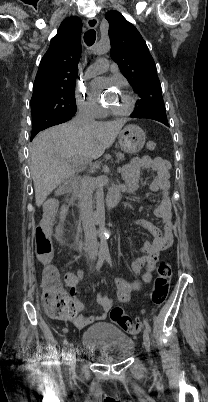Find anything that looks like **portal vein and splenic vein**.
<instances>
[{
  "label": "portal vein and splenic vein",
  "mask_w": 208,
  "mask_h": 402,
  "mask_svg": "<svg viewBox=\"0 0 208 402\" xmlns=\"http://www.w3.org/2000/svg\"><path fill=\"white\" fill-rule=\"evenodd\" d=\"M113 157H116V158H115V163H116V164H119V163H120V160L123 159V156L120 155L119 153L113 154ZM87 164H91V162H88V160H87Z\"/></svg>",
  "instance_id": "obj_1"
}]
</instances>
